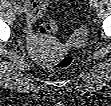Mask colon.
<instances>
[{
	"mask_svg": "<svg viewBox=\"0 0 111 106\" xmlns=\"http://www.w3.org/2000/svg\"><path fill=\"white\" fill-rule=\"evenodd\" d=\"M58 30V24L54 19L47 18L42 21L39 26V34L43 37H47L51 34L56 33ZM74 57L70 53H61L55 57L51 62V67L53 69H63L72 65Z\"/></svg>",
	"mask_w": 111,
	"mask_h": 106,
	"instance_id": "5ec220e1",
	"label": "colon"
}]
</instances>
